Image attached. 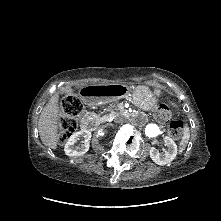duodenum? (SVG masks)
I'll list each match as a JSON object with an SVG mask.
<instances>
[{"mask_svg":"<svg viewBox=\"0 0 221 221\" xmlns=\"http://www.w3.org/2000/svg\"><path fill=\"white\" fill-rule=\"evenodd\" d=\"M125 89L122 86L113 85L100 87L98 85L85 86L81 90V97L89 105L113 101L117 96L123 95ZM128 118L134 122H139L142 119V114L138 112L128 113ZM93 125V120L84 116L80 119V126L83 131H90Z\"/></svg>","mask_w":221,"mask_h":221,"instance_id":"410a0bca","label":"duodenum"}]
</instances>
